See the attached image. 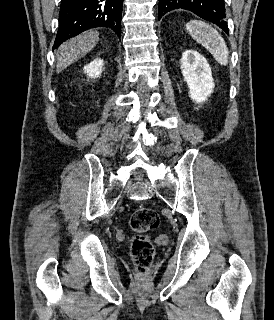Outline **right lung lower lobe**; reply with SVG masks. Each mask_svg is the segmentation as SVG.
I'll return each instance as SVG.
<instances>
[{
    "instance_id": "right-lung-lower-lobe-1",
    "label": "right lung lower lobe",
    "mask_w": 274,
    "mask_h": 320,
    "mask_svg": "<svg viewBox=\"0 0 274 320\" xmlns=\"http://www.w3.org/2000/svg\"><path fill=\"white\" fill-rule=\"evenodd\" d=\"M123 0H62L54 48L94 27H109L121 36Z\"/></svg>"
}]
</instances>
